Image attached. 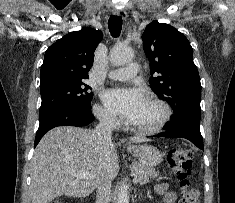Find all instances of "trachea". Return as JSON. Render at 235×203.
<instances>
[{"label":"trachea","instance_id":"obj_1","mask_svg":"<svg viewBox=\"0 0 235 203\" xmlns=\"http://www.w3.org/2000/svg\"><path fill=\"white\" fill-rule=\"evenodd\" d=\"M108 28L113 37H118L121 33L122 18L119 16H110L108 20Z\"/></svg>","mask_w":235,"mask_h":203}]
</instances>
